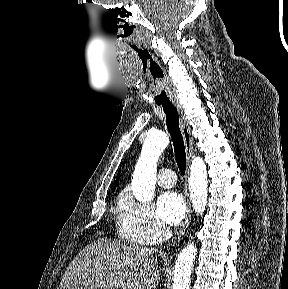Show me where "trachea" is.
Instances as JSON below:
<instances>
[{
	"label": "trachea",
	"instance_id": "obj_1",
	"mask_svg": "<svg viewBox=\"0 0 288 289\" xmlns=\"http://www.w3.org/2000/svg\"><path fill=\"white\" fill-rule=\"evenodd\" d=\"M137 56L144 70H147L152 79V97L158 105H162L166 115V124L170 133L176 162L180 172L184 175L186 170V152L179 128L178 112L176 107L168 100L165 86V74L156 59L147 49L137 50Z\"/></svg>",
	"mask_w": 288,
	"mask_h": 289
}]
</instances>
